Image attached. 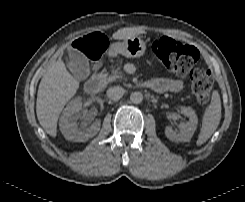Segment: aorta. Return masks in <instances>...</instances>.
I'll return each mask as SVG.
<instances>
[{
    "mask_svg": "<svg viewBox=\"0 0 245 202\" xmlns=\"http://www.w3.org/2000/svg\"><path fill=\"white\" fill-rule=\"evenodd\" d=\"M130 100L134 104H140L143 100V95L141 92H132L130 95Z\"/></svg>",
    "mask_w": 245,
    "mask_h": 202,
    "instance_id": "1",
    "label": "aorta"
}]
</instances>
